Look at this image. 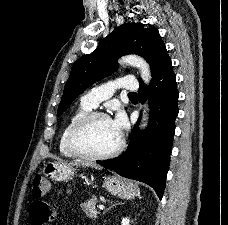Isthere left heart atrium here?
<instances>
[{
    "label": "left heart atrium",
    "instance_id": "obj_1",
    "mask_svg": "<svg viewBox=\"0 0 228 225\" xmlns=\"http://www.w3.org/2000/svg\"><path fill=\"white\" fill-rule=\"evenodd\" d=\"M111 124L117 136L121 137L127 125L124 115L118 113L115 119L111 120Z\"/></svg>",
    "mask_w": 228,
    "mask_h": 225
}]
</instances>
